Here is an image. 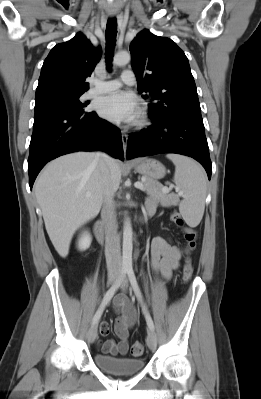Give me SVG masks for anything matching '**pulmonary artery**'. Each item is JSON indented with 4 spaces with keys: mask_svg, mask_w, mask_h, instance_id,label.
Returning <instances> with one entry per match:
<instances>
[{
    "mask_svg": "<svg viewBox=\"0 0 261 399\" xmlns=\"http://www.w3.org/2000/svg\"><path fill=\"white\" fill-rule=\"evenodd\" d=\"M135 77L134 72L131 70H124L119 79H113L109 81H98L93 80V87L87 93L88 97L94 95L110 93L119 89L123 84L131 85L134 83Z\"/></svg>",
    "mask_w": 261,
    "mask_h": 399,
    "instance_id": "obj_1",
    "label": "pulmonary artery"
}]
</instances>
